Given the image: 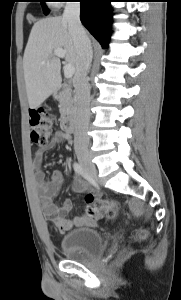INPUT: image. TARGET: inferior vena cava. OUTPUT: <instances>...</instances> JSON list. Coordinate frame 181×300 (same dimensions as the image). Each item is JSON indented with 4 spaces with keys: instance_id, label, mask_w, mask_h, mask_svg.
I'll return each mask as SVG.
<instances>
[{
    "instance_id": "obj_1",
    "label": "inferior vena cava",
    "mask_w": 181,
    "mask_h": 300,
    "mask_svg": "<svg viewBox=\"0 0 181 300\" xmlns=\"http://www.w3.org/2000/svg\"><path fill=\"white\" fill-rule=\"evenodd\" d=\"M76 49V72L73 85L77 96V116L74 132V149L76 153L87 151L90 122V85L87 74L93 58L89 37L80 21V3L68 2L63 13Z\"/></svg>"
}]
</instances>
